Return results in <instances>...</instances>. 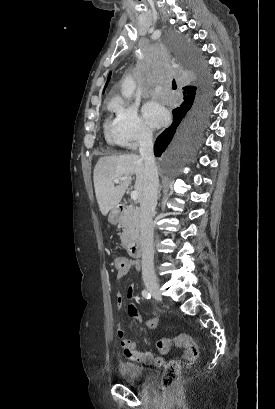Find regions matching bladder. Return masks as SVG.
<instances>
[{
    "instance_id": "obj_1",
    "label": "bladder",
    "mask_w": 275,
    "mask_h": 409,
    "mask_svg": "<svg viewBox=\"0 0 275 409\" xmlns=\"http://www.w3.org/2000/svg\"><path fill=\"white\" fill-rule=\"evenodd\" d=\"M119 378L127 386L141 389L144 382L153 381V368L142 367L132 361H122L118 364Z\"/></svg>"
}]
</instances>
